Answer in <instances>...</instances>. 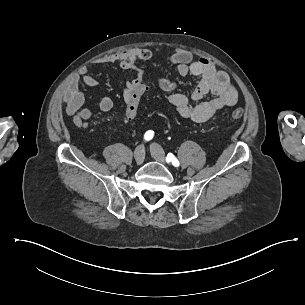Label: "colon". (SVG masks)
Here are the masks:
<instances>
[{
    "label": "colon",
    "instance_id": "colon-1",
    "mask_svg": "<svg viewBox=\"0 0 305 305\" xmlns=\"http://www.w3.org/2000/svg\"><path fill=\"white\" fill-rule=\"evenodd\" d=\"M144 92L145 88L143 85L138 84L134 88V92L132 93V96L128 98V100L125 103V106L127 108L125 112V116L127 119L132 120L136 116V112L134 110L135 106L138 105L140 101L144 98ZM244 115V110L239 108L235 109L231 112V117L234 119L240 118Z\"/></svg>",
    "mask_w": 305,
    "mask_h": 305
}]
</instances>
